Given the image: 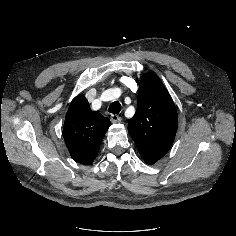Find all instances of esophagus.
Wrapping results in <instances>:
<instances>
[{
  "instance_id": "obj_1",
  "label": "esophagus",
  "mask_w": 236,
  "mask_h": 236,
  "mask_svg": "<svg viewBox=\"0 0 236 236\" xmlns=\"http://www.w3.org/2000/svg\"><path fill=\"white\" fill-rule=\"evenodd\" d=\"M110 119H111V122H113V123L121 122V117L118 116L117 114H112Z\"/></svg>"
}]
</instances>
